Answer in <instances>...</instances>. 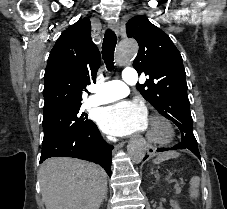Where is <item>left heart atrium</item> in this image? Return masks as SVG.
Returning <instances> with one entry per match:
<instances>
[{
	"label": "left heart atrium",
	"instance_id": "obj_1",
	"mask_svg": "<svg viewBox=\"0 0 227 209\" xmlns=\"http://www.w3.org/2000/svg\"><path fill=\"white\" fill-rule=\"evenodd\" d=\"M100 129L112 136H129L148 126V112L144 102L121 100L103 107L97 117Z\"/></svg>",
	"mask_w": 227,
	"mask_h": 209
}]
</instances>
